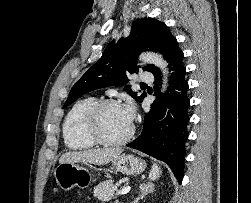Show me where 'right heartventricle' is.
Returning <instances> with one entry per match:
<instances>
[{"instance_id":"1","label":"right heart ventricle","mask_w":251,"mask_h":203,"mask_svg":"<svg viewBox=\"0 0 251 203\" xmlns=\"http://www.w3.org/2000/svg\"><path fill=\"white\" fill-rule=\"evenodd\" d=\"M94 97L76 101L67 112L63 121V138L66 146L72 150H86L97 143L84 130V120L89 108L96 103Z\"/></svg>"}]
</instances>
